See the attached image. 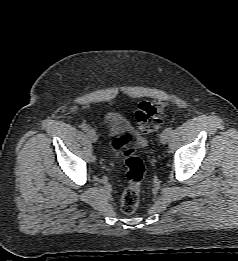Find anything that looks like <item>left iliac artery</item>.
I'll return each mask as SVG.
<instances>
[{
	"instance_id": "obj_1",
	"label": "left iliac artery",
	"mask_w": 238,
	"mask_h": 261,
	"mask_svg": "<svg viewBox=\"0 0 238 261\" xmlns=\"http://www.w3.org/2000/svg\"><path fill=\"white\" fill-rule=\"evenodd\" d=\"M167 130H168L170 133H172L173 128H172V127H169V128H167Z\"/></svg>"
}]
</instances>
